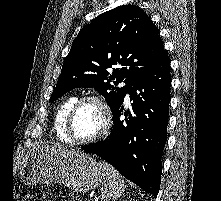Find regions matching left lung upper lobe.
Instances as JSON below:
<instances>
[{
	"label": "left lung upper lobe",
	"mask_w": 221,
	"mask_h": 201,
	"mask_svg": "<svg viewBox=\"0 0 221 201\" xmlns=\"http://www.w3.org/2000/svg\"><path fill=\"white\" fill-rule=\"evenodd\" d=\"M166 55L157 27L135 5L96 17L72 43L49 102L77 87H94L113 112L128 89ZM117 65L118 68L109 69ZM124 81L127 85L117 88Z\"/></svg>",
	"instance_id": "1"
}]
</instances>
